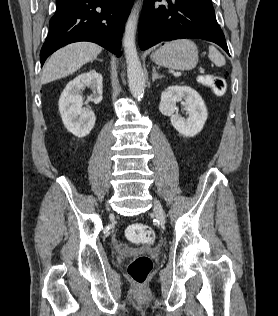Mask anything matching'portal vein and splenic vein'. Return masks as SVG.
Returning a JSON list of instances; mask_svg holds the SVG:
<instances>
[{"label": "portal vein and splenic vein", "mask_w": 278, "mask_h": 316, "mask_svg": "<svg viewBox=\"0 0 278 316\" xmlns=\"http://www.w3.org/2000/svg\"><path fill=\"white\" fill-rule=\"evenodd\" d=\"M173 76L174 77H180L181 76V72L179 71V72H175L174 74H173Z\"/></svg>", "instance_id": "1"}]
</instances>
